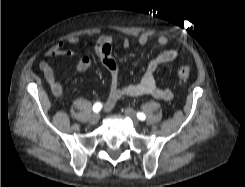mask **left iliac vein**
I'll return each instance as SVG.
<instances>
[{"mask_svg": "<svg viewBox=\"0 0 245 187\" xmlns=\"http://www.w3.org/2000/svg\"><path fill=\"white\" fill-rule=\"evenodd\" d=\"M124 114H125L127 117L131 118L136 124L139 122L138 119H137V117H136V112H135L134 109L128 107V108H126V109L124 110Z\"/></svg>", "mask_w": 245, "mask_h": 187, "instance_id": "left-iliac-vein-1", "label": "left iliac vein"}]
</instances>
